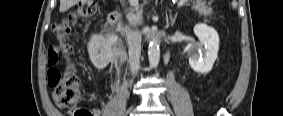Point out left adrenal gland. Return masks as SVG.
Listing matches in <instances>:
<instances>
[{"instance_id": "1", "label": "left adrenal gland", "mask_w": 283, "mask_h": 116, "mask_svg": "<svg viewBox=\"0 0 283 116\" xmlns=\"http://www.w3.org/2000/svg\"><path fill=\"white\" fill-rule=\"evenodd\" d=\"M169 18H170V24H171V26H173L175 24L176 19H177V13L175 14L174 17H172V15L170 13Z\"/></svg>"}]
</instances>
